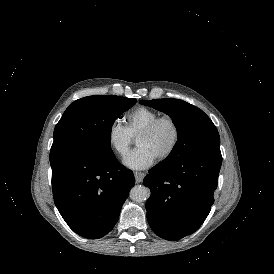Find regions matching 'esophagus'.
<instances>
[{
  "label": "esophagus",
  "instance_id": "esophagus-1",
  "mask_svg": "<svg viewBox=\"0 0 274 274\" xmlns=\"http://www.w3.org/2000/svg\"><path fill=\"white\" fill-rule=\"evenodd\" d=\"M134 175H135V180L137 183H140L145 176V174L142 172H135Z\"/></svg>",
  "mask_w": 274,
  "mask_h": 274
}]
</instances>
